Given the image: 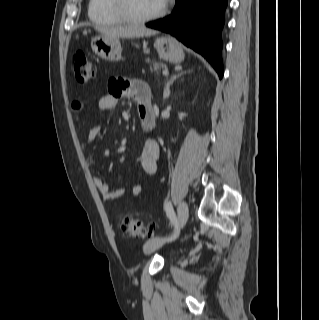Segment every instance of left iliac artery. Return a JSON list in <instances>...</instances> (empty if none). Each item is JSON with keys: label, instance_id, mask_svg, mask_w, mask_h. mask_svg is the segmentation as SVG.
<instances>
[{"label": "left iliac artery", "instance_id": "1", "mask_svg": "<svg viewBox=\"0 0 319 320\" xmlns=\"http://www.w3.org/2000/svg\"><path fill=\"white\" fill-rule=\"evenodd\" d=\"M165 211H166V214L168 216V218L170 219V221L172 222V224L175 225V227H177V218H176V215H175V212L173 210V207H172V204L170 201H167L165 203ZM177 231V229L175 230V232ZM179 235V233H178ZM163 241H172L173 240V236H171L170 238H163L162 239Z\"/></svg>", "mask_w": 319, "mask_h": 320}]
</instances>
